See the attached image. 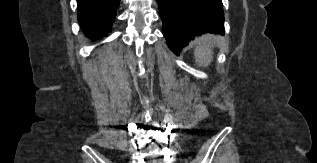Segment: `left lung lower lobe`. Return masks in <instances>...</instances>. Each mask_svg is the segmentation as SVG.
Masks as SVG:
<instances>
[{
  "instance_id": "obj_1",
  "label": "left lung lower lobe",
  "mask_w": 317,
  "mask_h": 163,
  "mask_svg": "<svg viewBox=\"0 0 317 163\" xmlns=\"http://www.w3.org/2000/svg\"><path fill=\"white\" fill-rule=\"evenodd\" d=\"M163 35L177 55L195 36L205 32L224 35L222 0H157Z\"/></svg>"
}]
</instances>
